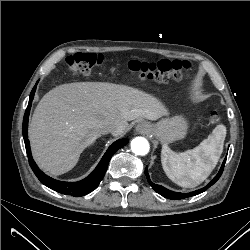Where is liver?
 <instances>
[{
  "mask_svg": "<svg viewBox=\"0 0 250 250\" xmlns=\"http://www.w3.org/2000/svg\"><path fill=\"white\" fill-rule=\"evenodd\" d=\"M155 97L113 83L63 84L46 93L38 103L29 127L32 154L52 175H61L77 164L83 150L93 145L107 123L128 129V121H155L167 115Z\"/></svg>",
  "mask_w": 250,
  "mask_h": 250,
  "instance_id": "1",
  "label": "liver"
}]
</instances>
